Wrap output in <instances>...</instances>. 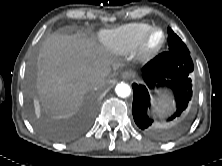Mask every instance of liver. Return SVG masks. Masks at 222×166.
Masks as SVG:
<instances>
[{"label": "liver", "instance_id": "1", "mask_svg": "<svg viewBox=\"0 0 222 166\" xmlns=\"http://www.w3.org/2000/svg\"><path fill=\"white\" fill-rule=\"evenodd\" d=\"M41 55L38 94L43 109L56 118L72 116L85 94L105 85L112 68L120 65L93 39L81 34L49 36L42 45ZM92 76L102 78L101 86L89 82Z\"/></svg>", "mask_w": 222, "mask_h": 166}]
</instances>
